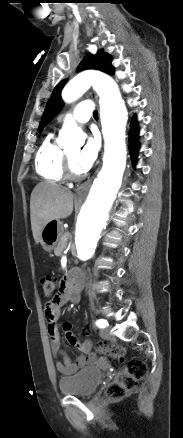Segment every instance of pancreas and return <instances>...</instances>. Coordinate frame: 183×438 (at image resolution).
<instances>
[{"mask_svg":"<svg viewBox=\"0 0 183 438\" xmlns=\"http://www.w3.org/2000/svg\"><path fill=\"white\" fill-rule=\"evenodd\" d=\"M67 239H68V235L66 233H64L60 237L59 242H58L56 248L54 249V253H55L56 256H62L63 250L67 246Z\"/></svg>","mask_w":183,"mask_h":438,"instance_id":"pancreas-1","label":"pancreas"}]
</instances>
